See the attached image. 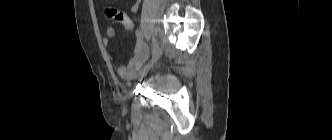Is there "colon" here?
I'll list each match as a JSON object with an SVG mask.
<instances>
[{
  "label": "colon",
  "instance_id": "5ec220e1",
  "mask_svg": "<svg viewBox=\"0 0 332 140\" xmlns=\"http://www.w3.org/2000/svg\"><path fill=\"white\" fill-rule=\"evenodd\" d=\"M106 15L110 20L121 25L125 31L129 32L133 29V21L125 12L109 8L106 10Z\"/></svg>",
  "mask_w": 332,
  "mask_h": 140
}]
</instances>
